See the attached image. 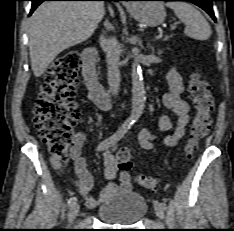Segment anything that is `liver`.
Instances as JSON below:
<instances>
[{
    "mask_svg": "<svg viewBox=\"0 0 234 231\" xmlns=\"http://www.w3.org/2000/svg\"><path fill=\"white\" fill-rule=\"evenodd\" d=\"M105 14L102 1H52L41 4L29 19V53L40 77L64 50L89 39Z\"/></svg>",
    "mask_w": 234,
    "mask_h": 231,
    "instance_id": "6515ba94",
    "label": "liver"
}]
</instances>
